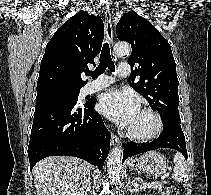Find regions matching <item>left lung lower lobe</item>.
Wrapping results in <instances>:
<instances>
[{"instance_id":"0a47b994","label":"left lung lower lobe","mask_w":211,"mask_h":195,"mask_svg":"<svg viewBox=\"0 0 211 195\" xmlns=\"http://www.w3.org/2000/svg\"><path fill=\"white\" fill-rule=\"evenodd\" d=\"M158 148H171L181 152L187 159L185 136L178 122L163 123V132L156 140L141 145L127 143L123 151V161L132 155L143 153Z\"/></svg>"}]
</instances>
